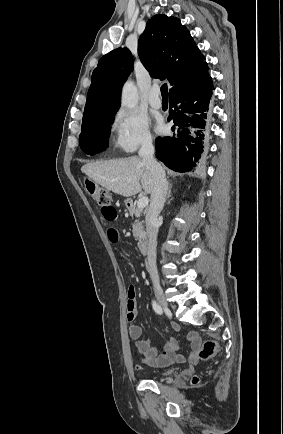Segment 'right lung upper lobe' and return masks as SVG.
Instances as JSON below:
<instances>
[{
	"label": "right lung upper lobe",
	"instance_id": "1",
	"mask_svg": "<svg viewBox=\"0 0 283 434\" xmlns=\"http://www.w3.org/2000/svg\"><path fill=\"white\" fill-rule=\"evenodd\" d=\"M138 55L154 78L167 79L169 95L202 84L208 65L189 30L175 17L153 16L138 41ZM133 70L129 49L117 48L104 55L92 73L83 114L82 128L116 114L123 83Z\"/></svg>",
	"mask_w": 283,
	"mask_h": 434
}]
</instances>
